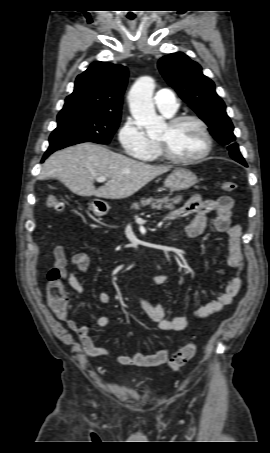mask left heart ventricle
<instances>
[{
  "label": "left heart ventricle",
  "mask_w": 270,
  "mask_h": 453,
  "mask_svg": "<svg viewBox=\"0 0 270 453\" xmlns=\"http://www.w3.org/2000/svg\"><path fill=\"white\" fill-rule=\"evenodd\" d=\"M157 141L166 142L172 154L181 158L194 157L205 147V138L199 125L187 121L175 128L166 124Z\"/></svg>",
  "instance_id": "left-heart-ventricle-1"
}]
</instances>
